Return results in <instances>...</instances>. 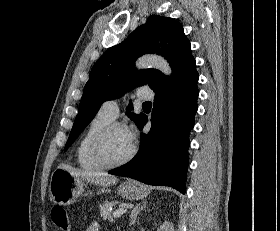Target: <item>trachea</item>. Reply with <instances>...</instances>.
Segmentation results:
<instances>
[{
	"instance_id": "1",
	"label": "trachea",
	"mask_w": 280,
	"mask_h": 231,
	"mask_svg": "<svg viewBox=\"0 0 280 231\" xmlns=\"http://www.w3.org/2000/svg\"><path fill=\"white\" fill-rule=\"evenodd\" d=\"M151 106H152L151 102H145V103H143L142 108L144 110H150Z\"/></svg>"
}]
</instances>
